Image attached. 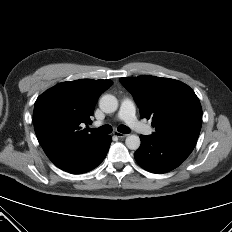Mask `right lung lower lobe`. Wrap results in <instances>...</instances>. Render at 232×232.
I'll return each mask as SVG.
<instances>
[{
  "label": "right lung lower lobe",
  "mask_w": 232,
  "mask_h": 232,
  "mask_svg": "<svg viewBox=\"0 0 232 232\" xmlns=\"http://www.w3.org/2000/svg\"><path fill=\"white\" fill-rule=\"evenodd\" d=\"M111 136H101L88 147L65 152L51 161L60 169L72 173H86L96 168L106 157Z\"/></svg>",
  "instance_id": "1"
}]
</instances>
